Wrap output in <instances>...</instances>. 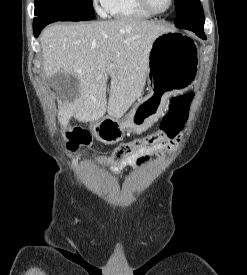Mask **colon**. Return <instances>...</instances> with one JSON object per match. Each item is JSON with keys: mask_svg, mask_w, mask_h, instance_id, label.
Returning <instances> with one entry per match:
<instances>
[{"mask_svg": "<svg viewBox=\"0 0 247 275\" xmlns=\"http://www.w3.org/2000/svg\"><path fill=\"white\" fill-rule=\"evenodd\" d=\"M194 95L192 93L173 97L170 101L168 110L162 118L158 130L130 142L123 143L116 147L109 160L120 164L143 149L159 144L174 138L183 128L189 117L190 105ZM66 145L71 150H76L82 146L90 144L89 133L80 127H71L65 133ZM98 161L103 158L98 156Z\"/></svg>", "mask_w": 247, "mask_h": 275, "instance_id": "5ec220e1", "label": "colon"}]
</instances>
